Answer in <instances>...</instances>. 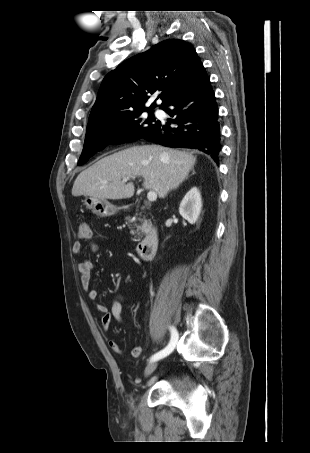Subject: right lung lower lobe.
<instances>
[{
    "mask_svg": "<svg viewBox=\"0 0 310 453\" xmlns=\"http://www.w3.org/2000/svg\"><path fill=\"white\" fill-rule=\"evenodd\" d=\"M162 108L170 116V123H158L142 138L168 147L195 148L218 162L221 150L218 107L210 79L204 67L194 79L181 89Z\"/></svg>",
    "mask_w": 310,
    "mask_h": 453,
    "instance_id": "1",
    "label": "right lung lower lobe"
}]
</instances>
